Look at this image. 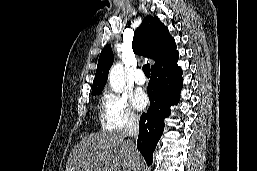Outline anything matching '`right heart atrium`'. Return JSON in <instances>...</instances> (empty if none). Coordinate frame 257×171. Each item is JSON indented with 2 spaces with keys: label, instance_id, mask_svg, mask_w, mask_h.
<instances>
[{
  "label": "right heart atrium",
  "instance_id": "obj_1",
  "mask_svg": "<svg viewBox=\"0 0 257 171\" xmlns=\"http://www.w3.org/2000/svg\"><path fill=\"white\" fill-rule=\"evenodd\" d=\"M102 123L108 130L121 131L139 122V115L124 93L111 90L103 94L101 100Z\"/></svg>",
  "mask_w": 257,
  "mask_h": 171
}]
</instances>
